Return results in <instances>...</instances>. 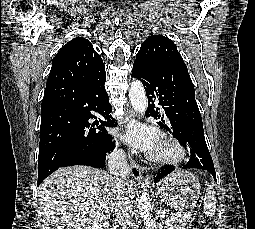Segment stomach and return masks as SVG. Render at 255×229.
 <instances>
[{"mask_svg":"<svg viewBox=\"0 0 255 229\" xmlns=\"http://www.w3.org/2000/svg\"><path fill=\"white\" fill-rule=\"evenodd\" d=\"M200 190L199 180L192 172L175 171L158 184L157 194L166 199L171 208L181 212L195 206Z\"/></svg>","mask_w":255,"mask_h":229,"instance_id":"obj_1","label":"stomach"}]
</instances>
